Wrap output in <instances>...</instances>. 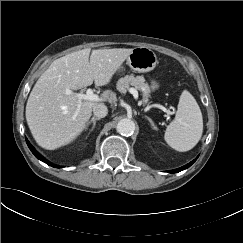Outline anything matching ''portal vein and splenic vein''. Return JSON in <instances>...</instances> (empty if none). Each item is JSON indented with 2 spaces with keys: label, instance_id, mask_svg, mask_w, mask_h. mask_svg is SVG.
<instances>
[{
  "label": "portal vein and splenic vein",
  "instance_id": "1",
  "mask_svg": "<svg viewBox=\"0 0 243 243\" xmlns=\"http://www.w3.org/2000/svg\"><path fill=\"white\" fill-rule=\"evenodd\" d=\"M129 92L136 98L138 97V92L134 88H130ZM66 93L68 95H74L75 97L78 98L79 101L81 100H89V101H100V98L98 95L93 93L92 89H87L86 94L83 93H74L71 90H67Z\"/></svg>",
  "mask_w": 243,
  "mask_h": 243
}]
</instances>
